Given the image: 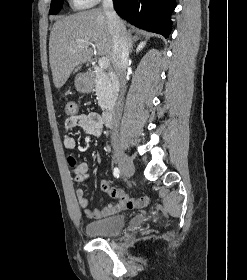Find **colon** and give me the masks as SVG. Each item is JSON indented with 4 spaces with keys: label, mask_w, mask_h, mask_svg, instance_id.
Returning a JSON list of instances; mask_svg holds the SVG:
<instances>
[{
    "label": "colon",
    "mask_w": 247,
    "mask_h": 280,
    "mask_svg": "<svg viewBox=\"0 0 247 280\" xmlns=\"http://www.w3.org/2000/svg\"><path fill=\"white\" fill-rule=\"evenodd\" d=\"M65 113L70 117L74 116L77 113V104L74 101H68L65 104ZM69 165L71 168H74L77 165L73 157L69 158ZM131 204H137V201H132Z\"/></svg>",
    "instance_id": "obj_1"
}]
</instances>
